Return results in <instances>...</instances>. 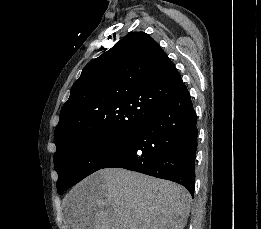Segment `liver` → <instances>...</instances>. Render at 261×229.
I'll list each match as a JSON object with an SVG mask.
<instances>
[{"label": "liver", "instance_id": "1", "mask_svg": "<svg viewBox=\"0 0 261 229\" xmlns=\"http://www.w3.org/2000/svg\"><path fill=\"white\" fill-rule=\"evenodd\" d=\"M191 195L172 181L126 169H101L66 195L70 229H183Z\"/></svg>", "mask_w": 261, "mask_h": 229}]
</instances>
